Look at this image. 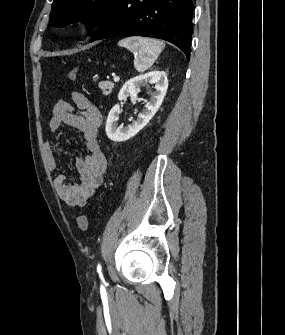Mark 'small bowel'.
<instances>
[{"mask_svg":"<svg viewBox=\"0 0 285 335\" xmlns=\"http://www.w3.org/2000/svg\"><path fill=\"white\" fill-rule=\"evenodd\" d=\"M72 98L74 106L63 99L54 104L49 129L55 132L67 125L83 134L88 153L76 159L75 166L79 180L69 183L61 174L55 176L53 180L60 199L68 207L76 208L84 206L96 193L106 173L107 159L98 142V132L103 121L101 112L80 92H74ZM45 152L49 168L57 170L58 160L54 146L47 142Z\"/></svg>","mask_w":285,"mask_h":335,"instance_id":"small-bowel-1","label":"small bowel"}]
</instances>
